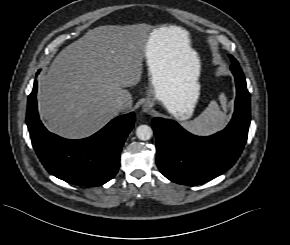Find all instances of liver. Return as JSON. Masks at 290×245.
Here are the masks:
<instances>
[{
    "instance_id": "1",
    "label": "liver",
    "mask_w": 290,
    "mask_h": 245,
    "mask_svg": "<svg viewBox=\"0 0 290 245\" xmlns=\"http://www.w3.org/2000/svg\"><path fill=\"white\" fill-rule=\"evenodd\" d=\"M157 33V51L171 75H199L200 61L188 32L170 26ZM149 38L140 27L107 25L64 48L38 82V110L47 128L66 138H83L118 115L116 100L126 104L123 111L129 110L133 100L126 87L141 79Z\"/></svg>"
}]
</instances>
